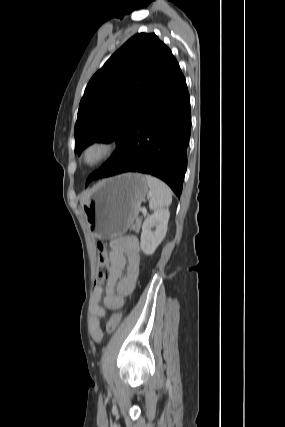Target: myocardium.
I'll return each mask as SVG.
<instances>
[{"label": "myocardium", "instance_id": "1", "mask_svg": "<svg viewBox=\"0 0 285 427\" xmlns=\"http://www.w3.org/2000/svg\"><path fill=\"white\" fill-rule=\"evenodd\" d=\"M116 145L107 139L89 142L81 151L79 163L86 169L97 168L106 163L114 154Z\"/></svg>", "mask_w": 285, "mask_h": 427}]
</instances>
